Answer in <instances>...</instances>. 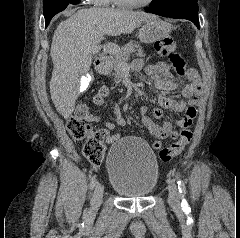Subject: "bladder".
<instances>
[{
  "label": "bladder",
  "instance_id": "obj_1",
  "mask_svg": "<svg viewBox=\"0 0 240 238\" xmlns=\"http://www.w3.org/2000/svg\"><path fill=\"white\" fill-rule=\"evenodd\" d=\"M107 170L112 189L125 197L148 196L159 176L155 153L136 138H124L111 146Z\"/></svg>",
  "mask_w": 240,
  "mask_h": 238
}]
</instances>
